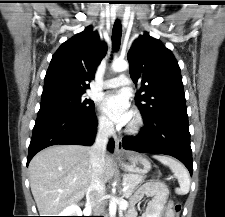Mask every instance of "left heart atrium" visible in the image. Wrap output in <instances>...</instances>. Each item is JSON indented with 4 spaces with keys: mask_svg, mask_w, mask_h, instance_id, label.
I'll return each mask as SVG.
<instances>
[{
    "mask_svg": "<svg viewBox=\"0 0 225 217\" xmlns=\"http://www.w3.org/2000/svg\"><path fill=\"white\" fill-rule=\"evenodd\" d=\"M101 108L112 121L119 125L126 124L132 116L129 97L124 92L107 94L101 101Z\"/></svg>",
    "mask_w": 225,
    "mask_h": 217,
    "instance_id": "obj_1",
    "label": "left heart atrium"
}]
</instances>
